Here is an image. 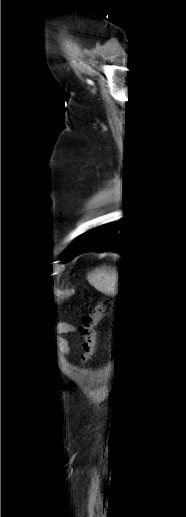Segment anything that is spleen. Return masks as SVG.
<instances>
[{
    "label": "spleen",
    "instance_id": "1",
    "mask_svg": "<svg viewBox=\"0 0 186 517\" xmlns=\"http://www.w3.org/2000/svg\"><path fill=\"white\" fill-rule=\"evenodd\" d=\"M87 279L89 283L98 291L115 296L119 290V273L113 267H100L88 273Z\"/></svg>",
    "mask_w": 186,
    "mask_h": 517
}]
</instances>
